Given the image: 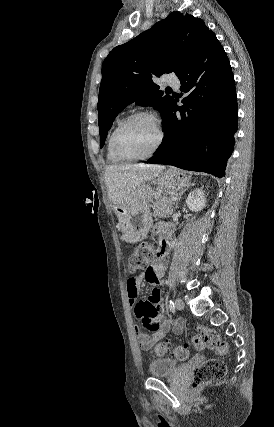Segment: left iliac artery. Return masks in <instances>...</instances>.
<instances>
[{
  "mask_svg": "<svg viewBox=\"0 0 274 427\" xmlns=\"http://www.w3.org/2000/svg\"><path fill=\"white\" fill-rule=\"evenodd\" d=\"M169 309H170L171 312L174 313V311H175V305H174V302L172 300H169Z\"/></svg>",
  "mask_w": 274,
  "mask_h": 427,
  "instance_id": "obj_1",
  "label": "left iliac artery"
}]
</instances>
